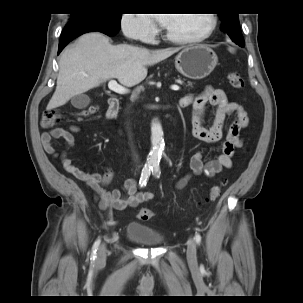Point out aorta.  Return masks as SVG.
Here are the masks:
<instances>
[{
	"label": "aorta",
	"instance_id": "762f6f07",
	"mask_svg": "<svg viewBox=\"0 0 303 303\" xmlns=\"http://www.w3.org/2000/svg\"><path fill=\"white\" fill-rule=\"evenodd\" d=\"M151 144L152 149L147 158V163L155 166L159 164L165 148L162 126L157 121L153 122L151 127Z\"/></svg>",
	"mask_w": 303,
	"mask_h": 303
}]
</instances>
